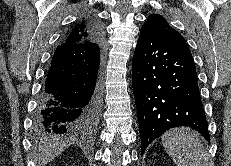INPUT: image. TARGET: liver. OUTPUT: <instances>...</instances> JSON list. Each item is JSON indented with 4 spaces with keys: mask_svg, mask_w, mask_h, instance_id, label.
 Returning a JSON list of instances; mask_svg holds the SVG:
<instances>
[{
    "mask_svg": "<svg viewBox=\"0 0 231 166\" xmlns=\"http://www.w3.org/2000/svg\"><path fill=\"white\" fill-rule=\"evenodd\" d=\"M69 146V143L62 141L56 137H50L41 140L37 146V158L39 166H44L48 162L57 157L64 149Z\"/></svg>",
    "mask_w": 231,
    "mask_h": 166,
    "instance_id": "6515ba94",
    "label": "liver"
}]
</instances>
